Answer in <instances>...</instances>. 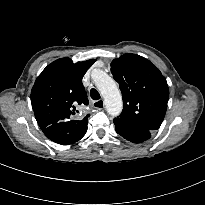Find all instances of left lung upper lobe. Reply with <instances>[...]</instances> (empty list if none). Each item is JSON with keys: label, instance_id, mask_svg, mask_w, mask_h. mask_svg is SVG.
Here are the masks:
<instances>
[{"label": "left lung upper lobe", "instance_id": "5c2ea615", "mask_svg": "<svg viewBox=\"0 0 205 205\" xmlns=\"http://www.w3.org/2000/svg\"><path fill=\"white\" fill-rule=\"evenodd\" d=\"M123 97L121 119L154 131L163 122L169 98L165 77L148 59L124 54L111 63Z\"/></svg>", "mask_w": 205, "mask_h": 205}]
</instances>
